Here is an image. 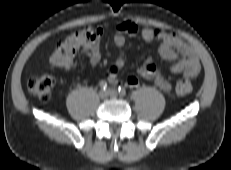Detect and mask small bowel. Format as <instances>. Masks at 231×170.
<instances>
[{
	"mask_svg": "<svg viewBox=\"0 0 231 170\" xmlns=\"http://www.w3.org/2000/svg\"><path fill=\"white\" fill-rule=\"evenodd\" d=\"M102 34V29H98L96 36L82 46V52L89 56V62L92 66H96L101 59L100 37ZM136 36H140L146 42H160V56L165 60L173 61L170 67L171 72L183 73L187 78L195 77L199 73L200 63L195 49L179 36L155 28L139 29L135 23L124 22L116 26L113 42L119 51L113 65L104 74L110 83L118 82L120 70L126 65L127 58L123 50L126 37ZM75 65V61H72L70 67L74 68ZM138 72L141 77L153 82L161 90L165 92L172 90L170 82L161 74L151 59H147ZM128 84L135 87L138 85V79L131 76L128 78Z\"/></svg>",
	"mask_w": 231,
	"mask_h": 170,
	"instance_id": "small-bowel-1",
	"label": "small bowel"
}]
</instances>
